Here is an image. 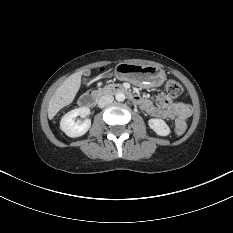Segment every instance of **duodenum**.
<instances>
[{
	"mask_svg": "<svg viewBox=\"0 0 233 233\" xmlns=\"http://www.w3.org/2000/svg\"><path fill=\"white\" fill-rule=\"evenodd\" d=\"M105 93H124L126 94L130 100H132L135 103H139L140 99L139 97L135 96L134 94H132L129 90H127L126 88L122 87V86H118V85H112L110 87H108L105 90ZM99 98V94L97 93H85L83 94L80 98H79V104L82 107H92L96 104L97 100Z\"/></svg>",
	"mask_w": 233,
	"mask_h": 233,
	"instance_id": "410a0bca",
	"label": "duodenum"
}]
</instances>
